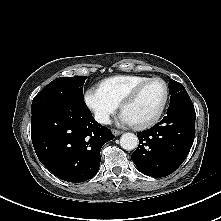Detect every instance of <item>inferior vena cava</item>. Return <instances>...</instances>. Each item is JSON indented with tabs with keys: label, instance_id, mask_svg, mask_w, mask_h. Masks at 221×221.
<instances>
[{
	"label": "inferior vena cava",
	"instance_id": "1",
	"mask_svg": "<svg viewBox=\"0 0 221 221\" xmlns=\"http://www.w3.org/2000/svg\"><path fill=\"white\" fill-rule=\"evenodd\" d=\"M95 120L101 124H110L111 122L109 115L104 112H96Z\"/></svg>",
	"mask_w": 221,
	"mask_h": 221
}]
</instances>
